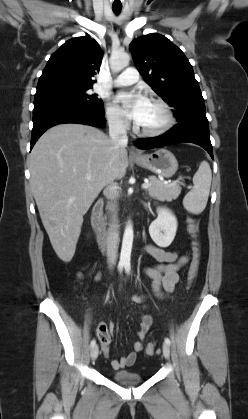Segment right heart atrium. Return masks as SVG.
I'll list each match as a JSON object with an SVG mask.
<instances>
[{
  "mask_svg": "<svg viewBox=\"0 0 248 419\" xmlns=\"http://www.w3.org/2000/svg\"><path fill=\"white\" fill-rule=\"evenodd\" d=\"M106 119L110 127L116 131L124 132L129 127V122L120 112V110L112 104H107L105 109Z\"/></svg>",
  "mask_w": 248,
  "mask_h": 419,
  "instance_id": "1",
  "label": "right heart atrium"
}]
</instances>
